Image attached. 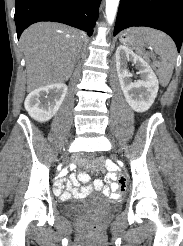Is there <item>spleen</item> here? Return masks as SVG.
I'll use <instances>...</instances> for the list:
<instances>
[{"instance_id":"obj_1","label":"spleen","mask_w":183,"mask_h":246,"mask_svg":"<svg viewBox=\"0 0 183 246\" xmlns=\"http://www.w3.org/2000/svg\"><path fill=\"white\" fill-rule=\"evenodd\" d=\"M139 36L144 43L152 46L155 52L160 55L161 63L158 76L162 86H166L171 79L177 57L174 42L165 33L151 28H143Z\"/></svg>"}]
</instances>
